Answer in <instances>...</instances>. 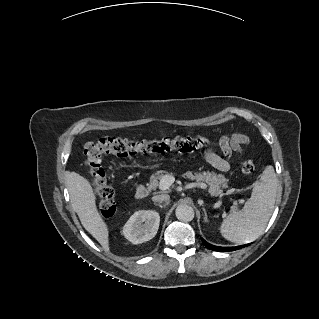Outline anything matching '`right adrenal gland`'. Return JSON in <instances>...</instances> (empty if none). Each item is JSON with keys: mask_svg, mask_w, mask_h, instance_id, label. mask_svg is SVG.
<instances>
[{"mask_svg": "<svg viewBox=\"0 0 319 319\" xmlns=\"http://www.w3.org/2000/svg\"><path fill=\"white\" fill-rule=\"evenodd\" d=\"M154 205L159 206L160 208H165L168 205V202L164 205L154 202Z\"/></svg>", "mask_w": 319, "mask_h": 319, "instance_id": "right-adrenal-gland-1", "label": "right adrenal gland"}]
</instances>
